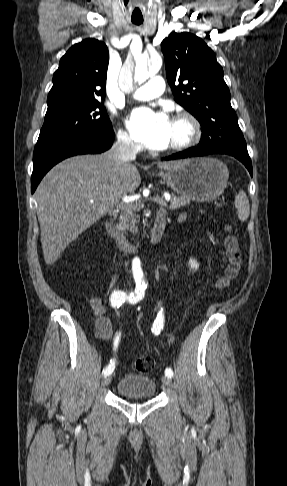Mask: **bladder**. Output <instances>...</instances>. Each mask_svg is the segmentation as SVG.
<instances>
[{"label":"bladder","mask_w":287,"mask_h":486,"mask_svg":"<svg viewBox=\"0 0 287 486\" xmlns=\"http://www.w3.org/2000/svg\"><path fill=\"white\" fill-rule=\"evenodd\" d=\"M117 392L130 398H151L156 393V383L149 375L127 374L116 384Z\"/></svg>","instance_id":"obj_1"}]
</instances>
